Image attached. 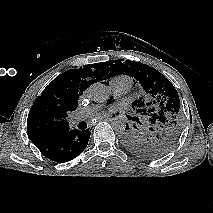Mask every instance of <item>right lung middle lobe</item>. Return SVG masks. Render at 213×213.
I'll use <instances>...</instances> for the list:
<instances>
[{"label": "right lung middle lobe", "mask_w": 213, "mask_h": 213, "mask_svg": "<svg viewBox=\"0 0 213 213\" xmlns=\"http://www.w3.org/2000/svg\"><path fill=\"white\" fill-rule=\"evenodd\" d=\"M55 114H48L46 117H44V120L42 121V127L44 130H50L53 128Z\"/></svg>", "instance_id": "obj_1"}]
</instances>
